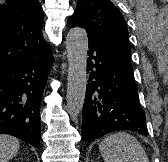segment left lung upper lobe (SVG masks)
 Returning a JSON list of instances; mask_svg holds the SVG:
<instances>
[{
  "label": "left lung upper lobe",
  "mask_w": 168,
  "mask_h": 162,
  "mask_svg": "<svg viewBox=\"0 0 168 162\" xmlns=\"http://www.w3.org/2000/svg\"><path fill=\"white\" fill-rule=\"evenodd\" d=\"M68 23L71 27H83L89 38L130 59L131 46L126 22L110 0H78L76 10L69 17Z\"/></svg>",
  "instance_id": "1"
}]
</instances>
